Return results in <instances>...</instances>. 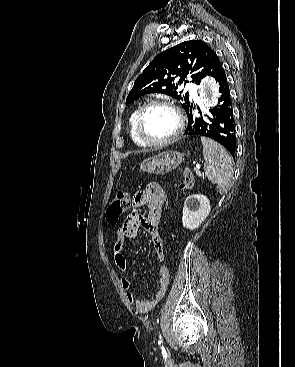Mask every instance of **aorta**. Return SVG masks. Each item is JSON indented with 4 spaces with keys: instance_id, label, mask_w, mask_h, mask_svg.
<instances>
[{
    "instance_id": "762f6f07",
    "label": "aorta",
    "mask_w": 295,
    "mask_h": 367,
    "mask_svg": "<svg viewBox=\"0 0 295 367\" xmlns=\"http://www.w3.org/2000/svg\"><path fill=\"white\" fill-rule=\"evenodd\" d=\"M216 96H218V94H217V93H215V97H216Z\"/></svg>"
}]
</instances>
